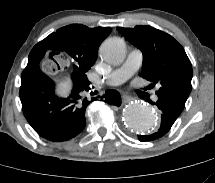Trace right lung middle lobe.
<instances>
[{"label":"right lung middle lobe","mask_w":215,"mask_h":183,"mask_svg":"<svg viewBox=\"0 0 215 183\" xmlns=\"http://www.w3.org/2000/svg\"><path fill=\"white\" fill-rule=\"evenodd\" d=\"M58 54H63L66 58H71L75 61L74 71L76 74L86 73L96 61L88 57L81 48L72 45H66L64 47V53Z\"/></svg>","instance_id":"right-lung-middle-lobe-1"}]
</instances>
